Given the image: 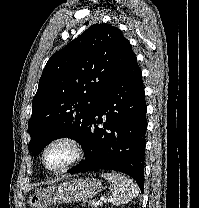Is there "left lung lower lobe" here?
I'll return each instance as SVG.
<instances>
[{
  "instance_id": "0a47b994",
  "label": "left lung lower lobe",
  "mask_w": 199,
  "mask_h": 208,
  "mask_svg": "<svg viewBox=\"0 0 199 208\" xmlns=\"http://www.w3.org/2000/svg\"><path fill=\"white\" fill-rule=\"evenodd\" d=\"M146 112L142 73L134 57L101 94L82 144L86 158L70 173L120 171L132 177L143 192Z\"/></svg>"
}]
</instances>
